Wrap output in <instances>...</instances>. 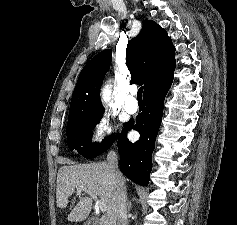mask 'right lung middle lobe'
<instances>
[{"label":"right lung middle lobe","mask_w":237,"mask_h":225,"mask_svg":"<svg viewBox=\"0 0 237 225\" xmlns=\"http://www.w3.org/2000/svg\"><path fill=\"white\" fill-rule=\"evenodd\" d=\"M104 112L96 115H86L75 111H69V120L66 127L67 144L69 149L77 150L79 154L90 159L108 150L115 138H109L94 145L91 142L92 129L102 118ZM125 126V124H124ZM119 135H117L118 138Z\"/></svg>","instance_id":"dd1d6c3e"}]
</instances>
